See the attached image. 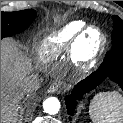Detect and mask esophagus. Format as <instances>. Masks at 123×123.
Segmentation results:
<instances>
[{
	"instance_id": "1",
	"label": "esophagus",
	"mask_w": 123,
	"mask_h": 123,
	"mask_svg": "<svg viewBox=\"0 0 123 123\" xmlns=\"http://www.w3.org/2000/svg\"><path fill=\"white\" fill-rule=\"evenodd\" d=\"M60 90H61V84L59 82H55L49 86V88L47 89V92L50 94H56V93H59Z\"/></svg>"
}]
</instances>
